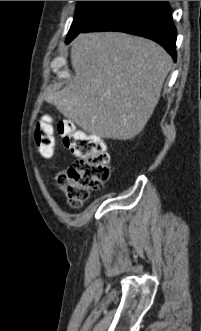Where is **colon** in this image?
<instances>
[{
    "label": "colon",
    "mask_w": 201,
    "mask_h": 331,
    "mask_svg": "<svg viewBox=\"0 0 201 331\" xmlns=\"http://www.w3.org/2000/svg\"><path fill=\"white\" fill-rule=\"evenodd\" d=\"M57 130L64 146L76 158L71 167L59 174L57 182L69 204L78 208L88 200L92 191L99 190L109 179V155L99 137L79 130L69 121H61ZM35 141L43 157L52 156L54 136L48 119L37 123Z\"/></svg>",
    "instance_id": "colon-1"
}]
</instances>
